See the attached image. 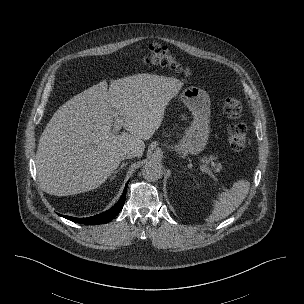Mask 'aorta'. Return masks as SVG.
<instances>
[{
  "label": "aorta",
  "instance_id": "obj_1",
  "mask_svg": "<svg viewBox=\"0 0 304 304\" xmlns=\"http://www.w3.org/2000/svg\"><path fill=\"white\" fill-rule=\"evenodd\" d=\"M163 174L162 165L158 161L151 160L142 168V175L148 181H156Z\"/></svg>",
  "mask_w": 304,
  "mask_h": 304
}]
</instances>
